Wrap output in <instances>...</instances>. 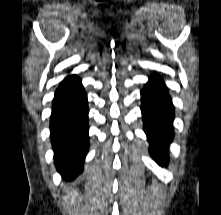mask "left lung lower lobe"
Here are the masks:
<instances>
[{
	"instance_id": "left-lung-lower-lobe-1",
	"label": "left lung lower lobe",
	"mask_w": 221,
	"mask_h": 215,
	"mask_svg": "<svg viewBox=\"0 0 221 215\" xmlns=\"http://www.w3.org/2000/svg\"><path fill=\"white\" fill-rule=\"evenodd\" d=\"M143 128L150 143V153L161 166L168 164L167 150L174 138V109L163 79L149 77L141 91Z\"/></svg>"
}]
</instances>
